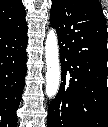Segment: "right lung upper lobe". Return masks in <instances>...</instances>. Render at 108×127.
Returning a JSON list of instances; mask_svg holds the SVG:
<instances>
[{
	"mask_svg": "<svg viewBox=\"0 0 108 127\" xmlns=\"http://www.w3.org/2000/svg\"><path fill=\"white\" fill-rule=\"evenodd\" d=\"M25 15L21 0H0V28L19 25L25 21Z\"/></svg>",
	"mask_w": 108,
	"mask_h": 127,
	"instance_id": "1",
	"label": "right lung upper lobe"
}]
</instances>
